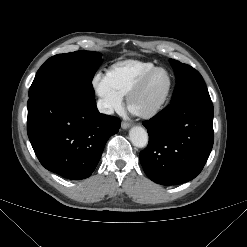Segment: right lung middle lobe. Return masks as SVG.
<instances>
[{
  "mask_svg": "<svg viewBox=\"0 0 247 247\" xmlns=\"http://www.w3.org/2000/svg\"><path fill=\"white\" fill-rule=\"evenodd\" d=\"M101 54L75 51L49 58L38 70L29 96L47 89H65L79 95H95L92 79L101 65Z\"/></svg>",
  "mask_w": 247,
  "mask_h": 247,
  "instance_id": "dd1d6c3e",
  "label": "right lung middle lobe"
}]
</instances>
